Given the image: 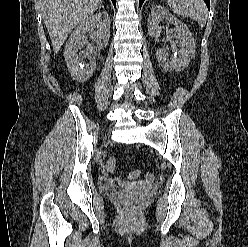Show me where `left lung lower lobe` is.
Returning <instances> with one entry per match:
<instances>
[{"mask_svg": "<svg viewBox=\"0 0 248 247\" xmlns=\"http://www.w3.org/2000/svg\"><path fill=\"white\" fill-rule=\"evenodd\" d=\"M208 9H210V0H204ZM144 0H139V7L141 8L142 4H143Z\"/></svg>", "mask_w": 248, "mask_h": 247, "instance_id": "obj_1", "label": "left lung lower lobe"}]
</instances>
